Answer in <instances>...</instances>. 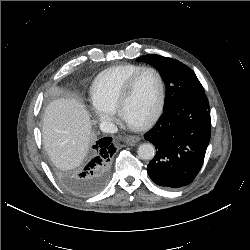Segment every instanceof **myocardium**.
Here are the masks:
<instances>
[{
	"label": "myocardium",
	"mask_w": 250,
	"mask_h": 250,
	"mask_svg": "<svg viewBox=\"0 0 250 250\" xmlns=\"http://www.w3.org/2000/svg\"><path fill=\"white\" fill-rule=\"evenodd\" d=\"M145 71H151L157 77L158 84H159V95H158L157 103H156L152 113L146 119H144L140 123H137L134 125L129 124L130 127H132L133 129H136V130L145 129V128L149 127L150 125H152L160 116L162 109L164 107V102H165V83H164V80H163L161 73L154 67L145 66V67L140 68L137 72H135L129 78V80L125 83L124 87L122 88V90L118 96L116 106H115V109H116L118 116L122 120H124V118H123L124 105L127 102L128 98L130 97V94L132 92V88L134 86L135 81L137 80L139 75Z\"/></svg>",
	"instance_id": "1"
}]
</instances>
